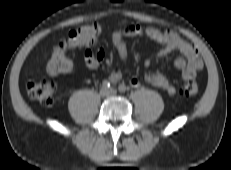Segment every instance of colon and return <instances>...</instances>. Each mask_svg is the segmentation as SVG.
Here are the masks:
<instances>
[{
    "instance_id": "obj_1",
    "label": "colon",
    "mask_w": 231,
    "mask_h": 170,
    "mask_svg": "<svg viewBox=\"0 0 231 170\" xmlns=\"http://www.w3.org/2000/svg\"><path fill=\"white\" fill-rule=\"evenodd\" d=\"M101 30L99 24L92 23L71 31L65 40L53 48L47 64L48 73L54 76L70 72L73 64L68 56L69 51L93 43L98 39ZM55 92L56 84L49 78L27 84L28 96L47 107L53 106ZM178 93L182 97L195 96L198 93V85L194 80H186L179 87Z\"/></svg>"
}]
</instances>
